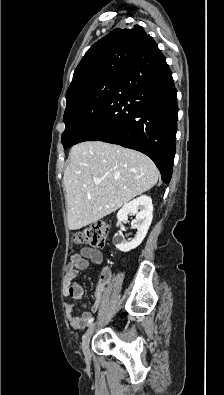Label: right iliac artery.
<instances>
[{
  "instance_id": "82829eb1",
  "label": "right iliac artery",
  "mask_w": 224,
  "mask_h": 395,
  "mask_svg": "<svg viewBox=\"0 0 224 395\" xmlns=\"http://www.w3.org/2000/svg\"><path fill=\"white\" fill-rule=\"evenodd\" d=\"M93 321H94V318H90V319L88 320V323H87V324L89 325V324H91Z\"/></svg>"
}]
</instances>
